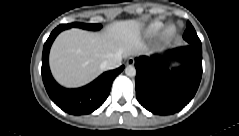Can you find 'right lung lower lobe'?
<instances>
[{
    "mask_svg": "<svg viewBox=\"0 0 239 136\" xmlns=\"http://www.w3.org/2000/svg\"><path fill=\"white\" fill-rule=\"evenodd\" d=\"M62 30L65 29L61 25L55 28L44 44L42 54L43 83L51 100L63 111L73 115L89 114L99 108L107 99L113 80L124 69V66L103 73L84 87L77 89L61 87L50 73L48 55L54 39Z\"/></svg>",
    "mask_w": 239,
    "mask_h": 136,
    "instance_id": "obj_1",
    "label": "right lung lower lobe"
}]
</instances>
